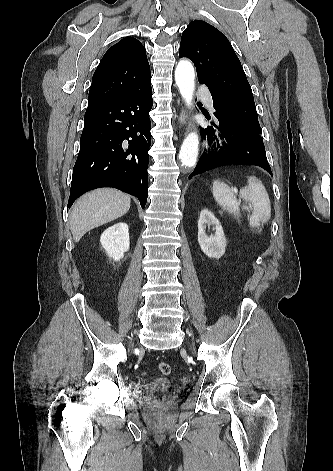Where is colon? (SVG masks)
Returning <instances> with one entry per match:
<instances>
[{
	"label": "colon",
	"instance_id": "obj_1",
	"mask_svg": "<svg viewBox=\"0 0 333 471\" xmlns=\"http://www.w3.org/2000/svg\"><path fill=\"white\" fill-rule=\"evenodd\" d=\"M158 369L162 375H169L171 373V366L168 362H160L158 365Z\"/></svg>",
	"mask_w": 333,
	"mask_h": 471
}]
</instances>
